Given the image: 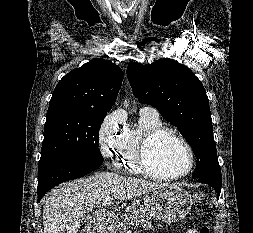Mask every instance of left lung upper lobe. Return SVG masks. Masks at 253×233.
Wrapping results in <instances>:
<instances>
[{
  "instance_id": "left-lung-upper-lobe-1",
  "label": "left lung upper lobe",
  "mask_w": 253,
  "mask_h": 233,
  "mask_svg": "<svg viewBox=\"0 0 253 233\" xmlns=\"http://www.w3.org/2000/svg\"><path fill=\"white\" fill-rule=\"evenodd\" d=\"M127 77L141 103L155 107L176 126L197 158L194 178L222 180L205 89L185 65L169 58L143 65L131 62Z\"/></svg>"
}]
</instances>
